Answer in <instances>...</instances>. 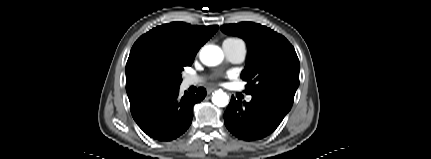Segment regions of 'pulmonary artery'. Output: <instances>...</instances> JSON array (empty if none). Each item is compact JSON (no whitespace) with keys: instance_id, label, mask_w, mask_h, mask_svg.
Wrapping results in <instances>:
<instances>
[{"instance_id":"obj_1","label":"pulmonary artery","mask_w":431,"mask_h":159,"mask_svg":"<svg viewBox=\"0 0 431 159\" xmlns=\"http://www.w3.org/2000/svg\"><path fill=\"white\" fill-rule=\"evenodd\" d=\"M223 51L229 61L232 63H241L246 56V46L241 40H225L222 44ZM199 77H187L184 81L185 86L196 85L201 82ZM252 97L247 96L246 100L251 101Z\"/></svg>"}]
</instances>
